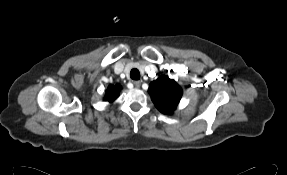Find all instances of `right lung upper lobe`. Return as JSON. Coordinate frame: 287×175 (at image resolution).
<instances>
[{
  "label": "right lung upper lobe",
  "mask_w": 287,
  "mask_h": 175,
  "mask_svg": "<svg viewBox=\"0 0 287 175\" xmlns=\"http://www.w3.org/2000/svg\"><path fill=\"white\" fill-rule=\"evenodd\" d=\"M121 87L119 85H110L106 91L105 100L108 102H113L119 95V90Z\"/></svg>",
  "instance_id": "cb5924a9"
}]
</instances>
